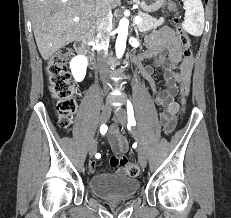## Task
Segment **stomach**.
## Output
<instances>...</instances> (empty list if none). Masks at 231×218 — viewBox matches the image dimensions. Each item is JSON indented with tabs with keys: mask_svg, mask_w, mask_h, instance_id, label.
Here are the masks:
<instances>
[{
	"mask_svg": "<svg viewBox=\"0 0 231 218\" xmlns=\"http://www.w3.org/2000/svg\"><path fill=\"white\" fill-rule=\"evenodd\" d=\"M133 3L140 6V8L147 13H154L158 11L166 0H132Z\"/></svg>",
	"mask_w": 231,
	"mask_h": 218,
	"instance_id": "stomach-1",
	"label": "stomach"
}]
</instances>
